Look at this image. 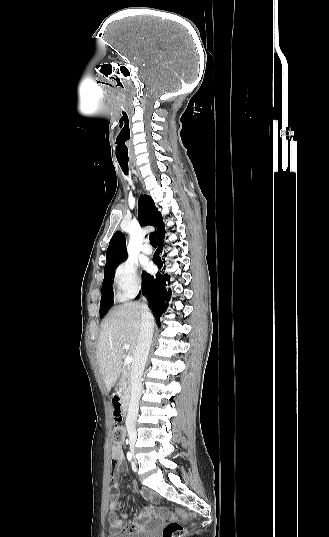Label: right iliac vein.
<instances>
[{
  "mask_svg": "<svg viewBox=\"0 0 329 537\" xmlns=\"http://www.w3.org/2000/svg\"><path fill=\"white\" fill-rule=\"evenodd\" d=\"M135 443V437H130V446L133 447Z\"/></svg>",
  "mask_w": 329,
  "mask_h": 537,
  "instance_id": "obj_1",
  "label": "right iliac vein"
}]
</instances>
